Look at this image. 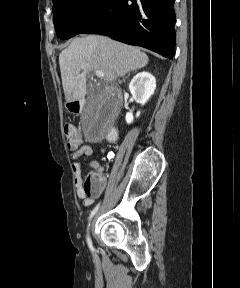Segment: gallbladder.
Returning <instances> with one entry per match:
<instances>
[{"instance_id": "bac80fb5", "label": "gallbladder", "mask_w": 240, "mask_h": 288, "mask_svg": "<svg viewBox=\"0 0 240 288\" xmlns=\"http://www.w3.org/2000/svg\"><path fill=\"white\" fill-rule=\"evenodd\" d=\"M88 100V104L84 110L85 116H88L94 112L100 115H106L109 112V103L105 101V99L101 97L98 92H89Z\"/></svg>"}]
</instances>
